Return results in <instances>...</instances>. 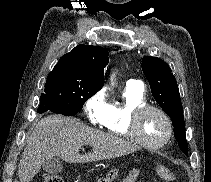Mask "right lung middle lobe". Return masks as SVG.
I'll list each match as a JSON object with an SVG mask.
<instances>
[{
  "label": "right lung middle lobe",
  "instance_id": "obj_1",
  "mask_svg": "<svg viewBox=\"0 0 211 182\" xmlns=\"http://www.w3.org/2000/svg\"><path fill=\"white\" fill-rule=\"evenodd\" d=\"M102 87L76 80L67 74L50 72L40 102L51 101L61 114L74 116Z\"/></svg>",
  "mask_w": 211,
  "mask_h": 182
}]
</instances>
